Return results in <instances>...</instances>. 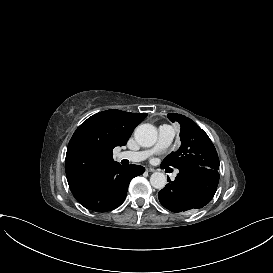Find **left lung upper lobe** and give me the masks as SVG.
<instances>
[{
    "instance_id": "obj_1",
    "label": "left lung upper lobe",
    "mask_w": 273,
    "mask_h": 273,
    "mask_svg": "<svg viewBox=\"0 0 273 273\" xmlns=\"http://www.w3.org/2000/svg\"><path fill=\"white\" fill-rule=\"evenodd\" d=\"M167 117L181 125V146L176 152H171L165 157L162 165L175 168L201 166L218 170V155L206 132L184 115L169 113Z\"/></svg>"
}]
</instances>
